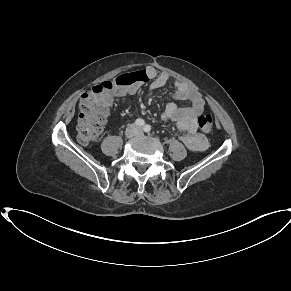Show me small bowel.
Segmentation results:
<instances>
[{
	"label": "small bowel",
	"instance_id": "obj_1",
	"mask_svg": "<svg viewBox=\"0 0 291 291\" xmlns=\"http://www.w3.org/2000/svg\"><path fill=\"white\" fill-rule=\"evenodd\" d=\"M139 80L136 82L121 87L113 94L105 97L109 102L113 100L118 101L124 96H133L141 84L146 80H152L151 88H160L166 85L170 76L167 73H158L155 68L148 66L139 72ZM174 96L177 100L189 101L190 105L187 107H178L175 103H167L162 113L163 121H174L179 130L183 131L180 139L191 150L203 151L207 146V141L197 132L196 118L204 110V100L202 96L187 83L176 81Z\"/></svg>",
	"mask_w": 291,
	"mask_h": 291
}]
</instances>
